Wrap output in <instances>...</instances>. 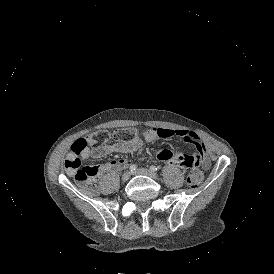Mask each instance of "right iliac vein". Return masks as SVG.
<instances>
[{"mask_svg":"<svg viewBox=\"0 0 274 274\" xmlns=\"http://www.w3.org/2000/svg\"><path fill=\"white\" fill-rule=\"evenodd\" d=\"M130 172H125L123 175H122V181L126 182L129 180L130 178Z\"/></svg>","mask_w":274,"mask_h":274,"instance_id":"obj_1","label":"right iliac vein"}]
</instances>
